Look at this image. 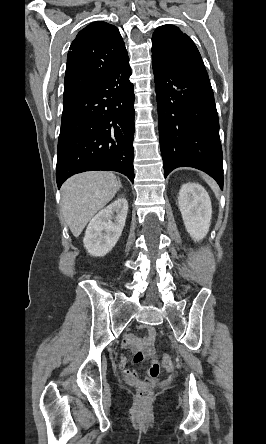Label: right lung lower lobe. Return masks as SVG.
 <instances>
[{
  "mask_svg": "<svg viewBox=\"0 0 266 444\" xmlns=\"http://www.w3.org/2000/svg\"><path fill=\"white\" fill-rule=\"evenodd\" d=\"M129 59L103 81L63 104L57 149L56 180L60 188L70 176L112 170L134 181V92Z\"/></svg>",
  "mask_w": 266,
  "mask_h": 444,
  "instance_id": "obj_1",
  "label": "right lung lower lobe"
}]
</instances>
